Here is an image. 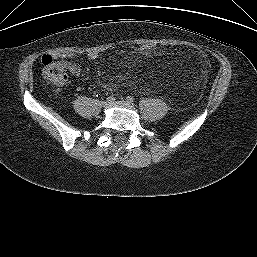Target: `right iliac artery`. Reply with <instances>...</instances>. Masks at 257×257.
Returning <instances> with one entry per match:
<instances>
[{"instance_id": "right-iliac-artery-1", "label": "right iliac artery", "mask_w": 257, "mask_h": 257, "mask_svg": "<svg viewBox=\"0 0 257 257\" xmlns=\"http://www.w3.org/2000/svg\"><path fill=\"white\" fill-rule=\"evenodd\" d=\"M106 100L110 103H113L115 101V97L114 96H109Z\"/></svg>"}]
</instances>
